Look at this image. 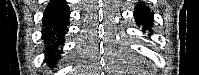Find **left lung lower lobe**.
Masks as SVG:
<instances>
[{
    "label": "left lung lower lobe",
    "instance_id": "0a47b994",
    "mask_svg": "<svg viewBox=\"0 0 199 75\" xmlns=\"http://www.w3.org/2000/svg\"><path fill=\"white\" fill-rule=\"evenodd\" d=\"M136 23L140 26L142 25L143 32L149 30V35L152 34L151 27L153 25V13L150 9L143 3L139 2L134 11Z\"/></svg>",
    "mask_w": 199,
    "mask_h": 75
}]
</instances>
